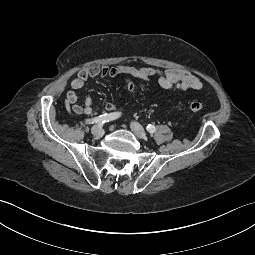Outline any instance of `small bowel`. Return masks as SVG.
Here are the masks:
<instances>
[{
    "mask_svg": "<svg viewBox=\"0 0 255 255\" xmlns=\"http://www.w3.org/2000/svg\"><path fill=\"white\" fill-rule=\"evenodd\" d=\"M120 74H125L148 82L156 79L158 85L164 89L175 88L179 90H200L203 88V82L198 76L179 69L159 70L152 67L142 66L115 65L110 67L93 65L82 69L71 80L70 86L72 90L67 92L66 98L68 103L71 105L72 112L76 115H90L94 110V102L89 95L85 97L82 106L77 104L78 96L75 90L81 89L89 80L98 77H115ZM115 109L116 107L113 103H108L106 105V110L108 112H114Z\"/></svg>",
    "mask_w": 255,
    "mask_h": 255,
    "instance_id": "c3829d8e",
    "label": "small bowel"
}]
</instances>
